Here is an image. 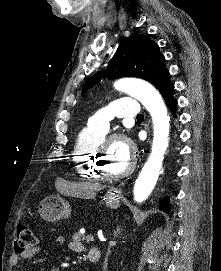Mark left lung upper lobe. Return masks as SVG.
<instances>
[{"label": "left lung upper lobe", "mask_w": 221, "mask_h": 271, "mask_svg": "<svg viewBox=\"0 0 221 271\" xmlns=\"http://www.w3.org/2000/svg\"><path fill=\"white\" fill-rule=\"evenodd\" d=\"M106 76L108 79L139 77L152 83L159 91L171 83L165 58L158 45L142 34L126 38L119 45L106 70L89 78L84 89L90 88Z\"/></svg>", "instance_id": "5c2ea615"}]
</instances>
